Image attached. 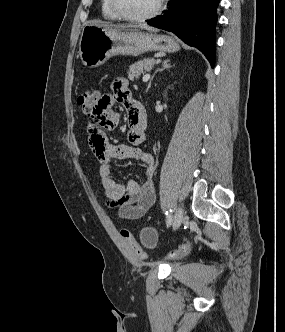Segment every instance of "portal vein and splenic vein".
<instances>
[{
    "label": "portal vein and splenic vein",
    "mask_w": 285,
    "mask_h": 332,
    "mask_svg": "<svg viewBox=\"0 0 285 332\" xmlns=\"http://www.w3.org/2000/svg\"><path fill=\"white\" fill-rule=\"evenodd\" d=\"M150 78V74H146L143 76V82L148 81V79Z\"/></svg>",
    "instance_id": "portal-vein-and-splenic-vein-1"
}]
</instances>
